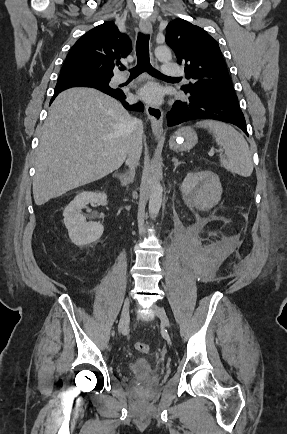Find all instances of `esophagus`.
<instances>
[{
	"mask_svg": "<svg viewBox=\"0 0 287 434\" xmlns=\"http://www.w3.org/2000/svg\"><path fill=\"white\" fill-rule=\"evenodd\" d=\"M141 31L145 34L152 33V25L146 20L142 19L139 23ZM146 114L151 122L152 131L154 135L158 136L162 130L163 111L160 107L155 105H146Z\"/></svg>",
	"mask_w": 287,
	"mask_h": 434,
	"instance_id": "1",
	"label": "esophagus"
}]
</instances>
